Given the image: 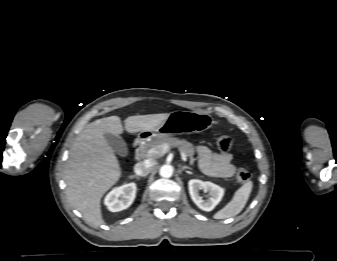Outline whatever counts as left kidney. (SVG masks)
Instances as JSON below:
<instances>
[{
  "mask_svg": "<svg viewBox=\"0 0 337 261\" xmlns=\"http://www.w3.org/2000/svg\"><path fill=\"white\" fill-rule=\"evenodd\" d=\"M188 187L191 199L204 211H212L224 195L223 188L209 181L203 182L198 179H192L188 182ZM199 190L209 192L210 197L207 200H203L199 195Z\"/></svg>",
  "mask_w": 337,
  "mask_h": 261,
  "instance_id": "left-kidney-1",
  "label": "left kidney"
}]
</instances>
